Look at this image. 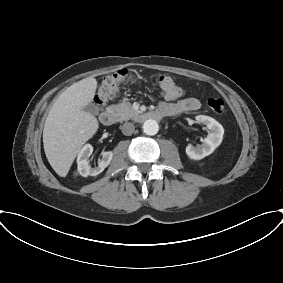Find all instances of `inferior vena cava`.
<instances>
[{"label":"inferior vena cava","instance_id":"602c4592","mask_svg":"<svg viewBox=\"0 0 283 283\" xmlns=\"http://www.w3.org/2000/svg\"><path fill=\"white\" fill-rule=\"evenodd\" d=\"M121 130L124 135L129 136L133 134L135 126L131 122H126L121 126Z\"/></svg>","mask_w":283,"mask_h":283}]
</instances>
